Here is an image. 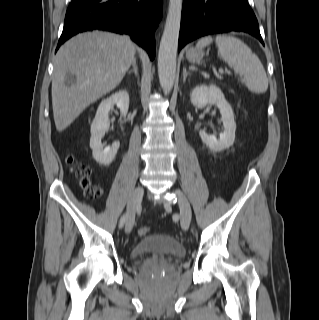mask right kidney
<instances>
[{"label":"right kidney","mask_w":319,"mask_h":320,"mask_svg":"<svg viewBox=\"0 0 319 320\" xmlns=\"http://www.w3.org/2000/svg\"><path fill=\"white\" fill-rule=\"evenodd\" d=\"M116 105L123 116L127 115L129 108V94L126 90H120L104 99L96 112L91 124L90 148L93 151V158L101 165L108 166L114 160L120 143L114 142L111 146L103 148L101 139L108 130L109 113Z\"/></svg>","instance_id":"ca27d5eb"}]
</instances>
